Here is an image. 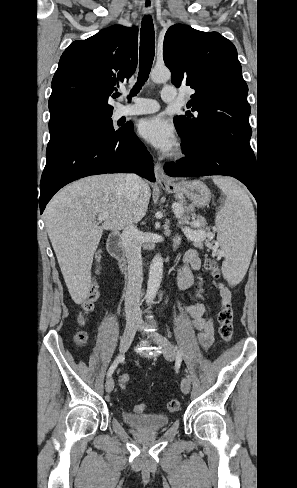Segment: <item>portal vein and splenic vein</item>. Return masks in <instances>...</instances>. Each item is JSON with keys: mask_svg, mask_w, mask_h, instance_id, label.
Returning <instances> with one entry per match:
<instances>
[{"mask_svg": "<svg viewBox=\"0 0 297 488\" xmlns=\"http://www.w3.org/2000/svg\"><path fill=\"white\" fill-rule=\"evenodd\" d=\"M173 209L175 210V213L179 216H181L184 212V208L183 206H181L180 204L178 203H174L172 205ZM108 217V213L107 212H102L99 216H98V220H104L105 218ZM190 233L192 234H195L197 235L198 233H202V232H197V231H194V230H190Z\"/></svg>", "mask_w": 297, "mask_h": 488, "instance_id": "1", "label": "portal vein and splenic vein"}]
</instances>
